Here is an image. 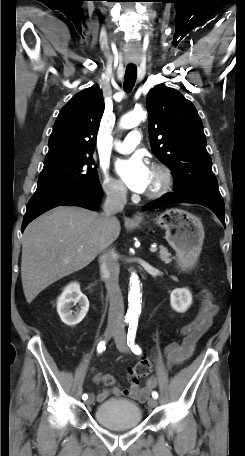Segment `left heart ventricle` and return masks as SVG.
<instances>
[{
  "mask_svg": "<svg viewBox=\"0 0 245 456\" xmlns=\"http://www.w3.org/2000/svg\"><path fill=\"white\" fill-rule=\"evenodd\" d=\"M159 182L160 176L156 172L150 170L147 190L157 187Z\"/></svg>",
  "mask_w": 245,
  "mask_h": 456,
  "instance_id": "left-heart-ventricle-1",
  "label": "left heart ventricle"
}]
</instances>
